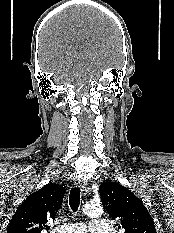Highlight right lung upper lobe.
Segmentation results:
<instances>
[{
	"label": "right lung upper lobe",
	"instance_id": "cb5924a9",
	"mask_svg": "<svg viewBox=\"0 0 174 233\" xmlns=\"http://www.w3.org/2000/svg\"><path fill=\"white\" fill-rule=\"evenodd\" d=\"M65 187L50 183L30 194L17 208L7 233H41L48 230L47 222L54 220L61 208Z\"/></svg>",
	"mask_w": 174,
	"mask_h": 233
}]
</instances>
